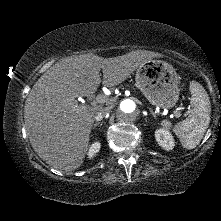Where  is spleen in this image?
<instances>
[{"label":"spleen","mask_w":221,"mask_h":221,"mask_svg":"<svg viewBox=\"0 0 221 221\" xmlns=\"http://www.w3.org/2000/svg\"><path fill=\"white\" fill-rule=\"evenodd\" d=\"M189 89L191 92V114L186 120L177 123L173 127V131L185 149H194L200 143L209 126L211 106L208 94L200 83L191 81ZM161 125L164 128H169L172 124L170 121L164 120Z\"/></svg>","instance_id":"obj_1"}]
</instances>
